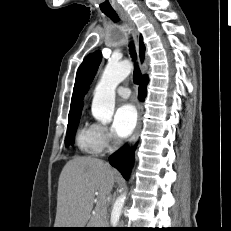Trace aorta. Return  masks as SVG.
Listing matches in <instances>:
<instances>
[{
    "mask_svg": "<svg viewBox=\"0 0 231 231\" xmlns=\"http://www.w3.org/2000/svg\"><path fill=\"white\" fill-rule=\"evenodd\" d=\"M132 64L128 61L110 60L97 84L92 101V114L102 123L112 120L115 108V89L131 73ZM126 194H121L115 201L111 212V224L116 226L124 206Z\"/></svg>",
    "mask_w": 231,
    "mask_h": 231,
    "instance_id": "762f6f07",
    "label": "aorta"
}]
</instances>
